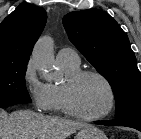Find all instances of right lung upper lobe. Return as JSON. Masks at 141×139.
<instances>
[{"label": "right lung upper lobe", "mask_w": 141, "mask_h": 139, "mask_svg": "<svg viewBox=\"0 0 141 139\" xmlns=\"http://www.w3.org/2000/svg\"><path fill=\"white\" fill-rule=\"evenodd\" d=\"M43 8L19 5L0 24V63H28L33 45L46 24Z\"/></svg>", "instance_id": "1"}]
</instances>
